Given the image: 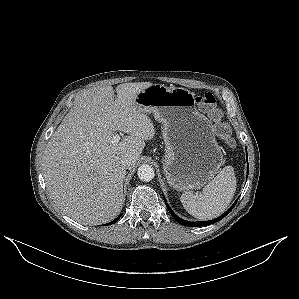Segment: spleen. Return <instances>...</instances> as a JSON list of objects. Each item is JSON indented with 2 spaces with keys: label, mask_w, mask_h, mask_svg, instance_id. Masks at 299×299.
I'll return each mask as SVG.
<instances>
[{
  "label": "spleen",
  "mask_w": 299,
  "mask_h": 299,
  "mask_svg": "<svg viewBox=\"0 0 299 299\" xmlns=\"http://www.w3.org/2000/svg\"><path fill=\"white\" fill-rule=\"evenodd\" d=\"M236 177L232 166L224 167L200 193L185 192L180 201L185 210L199 220H211L229 206L236 191Z\"/></svg>",
  "instance_id": "obj_1"
}]
</instances>
